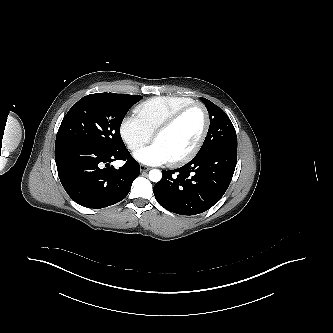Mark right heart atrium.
<instances>
[{"mask_svg":"<svg viewBox=\"0 0 333 333\" xmlns=\"http://www.w3.org/2000/svg\"><path fill=\"white\" fill-rule=\"evenodd\" d=\"M120 135L131 151L140 149L152 138L150 132L136 115L125 116L120 123Z\"/></svg>","mask_w":333,"mask_h":333,"instance_id":"d8ad5b80","label":"right heart atrium"}]
</instances>
